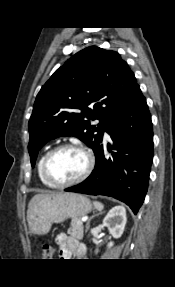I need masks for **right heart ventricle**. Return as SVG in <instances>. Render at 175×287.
Listing matches in <instances>:
<instances>
[{"instance_id": "e07e8e85", "label": "right heart ventricle", "mask_w": 175, "mask_h": 287, "mask_svg": "<svg viewBox=\"0 0 175 287\" xmlns=\"http://www.w3.org/2000/svg\"><path fill=\"white\" fill-rule=\"evenodd\" d=\"M49 150H46L39 158L38 160V163H37V174H38V177H39V180L41 181V183L47 187H51L46 181L45 179L43 178V175H42V165H43V161H44V158L46 156V154L48 153Z\"/></svg>"}]
</instances>
